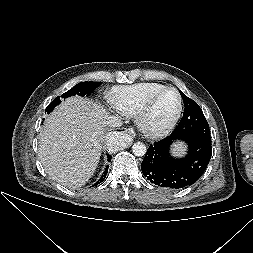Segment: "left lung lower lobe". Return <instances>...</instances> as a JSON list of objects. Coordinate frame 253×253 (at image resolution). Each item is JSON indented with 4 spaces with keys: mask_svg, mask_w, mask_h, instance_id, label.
<instances>
[{
    "mask_svg": "<svg viewBox=\"0 0 253 253\" xmlns=\"http://www.w3.org/2000/svg\"><path fill=\"white\" fill-rule=\"evenodd\" d=\"M176 140L188 144V154L175 159L170 146ZM212 154L211 142L195 136L168 137L150 145L141 164V170L150 182L165 188L180 189L194 184L204 173Z\"/></svg>",
    "mask_w": 253,
    "mask_h": 253,
    "instance_id": "obj_1",
    "label": "left lung lower lobe"
}]
</instances>
